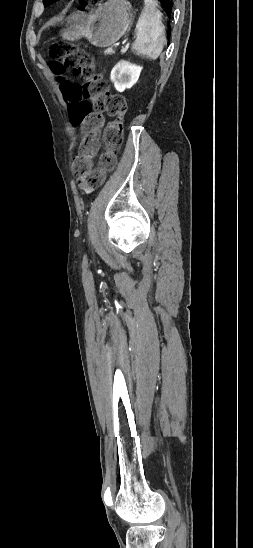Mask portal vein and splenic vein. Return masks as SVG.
Listing matches in <instances>:
<instances>
[{
  "label": "portal vein and splenic vein",
  "mask_w": 253,
  "mask_h": 548,
  "mask_svg": "<svg viewBox=\"0 0 253 548\" xmlns=\"http://www.w3.org/2000/svg\"><path fill=\"white\" fill-rule=\"evenodd\" d=\"M126 48H127V46H126V45H123V46L121 47V51L124 52V51L126 50Z\"/></svg>",
  "instance_id": "1"
}]
</instances>
